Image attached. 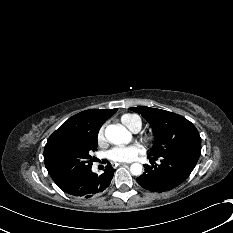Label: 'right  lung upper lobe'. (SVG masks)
<instances>
[{
  "instance_id": "cb5924a9",
  "label": "right lung upper lobe",
  "mask_w": 233,
  "mask_h": 233,
  "mask_svg": "<svg viewBox=\"0 0 233 233\" xmlns=\"http://www.w3.org/2000/svg\"><path fill=\"white\" fill-rule=\"evenodd\" d=\"M117 110L115 108L110 110L90 109L82 111L69 118L51 134L44 148V162L56 184L61 182L54 177L51 170V156L56 147L64 141L81 140L97 136L102 124Z\"/></svg>"
}]
</instances>
